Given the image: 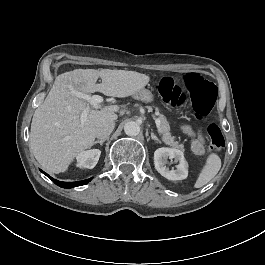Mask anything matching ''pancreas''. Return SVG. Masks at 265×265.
Wrapping results in <instances>:
<instances>
[{
  "mask_svg": "<svg viewBox=\"0 0 265 265\" xmlns=\"http://www.w3.org/2000/svg\"><path fill=\"white\" fill-rule=\"evenodd\" d=\"M158 120L160 121L161 129H162V140H163V142L168 146H171L175 149H179V150L184 151L185 150L184 145L179 144L178 141L175 139V137L171 136V134L169 132L170 127L167 123L166 118L162 114H159Z\"/></svg>",
  "mask_w": 265,
  "mask_h": 265,
  "instance_id": "pancreas-1",
  "label": "pancreas"
}]
</instances>
